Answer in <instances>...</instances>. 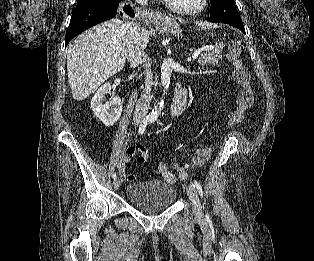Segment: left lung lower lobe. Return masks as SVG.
Here are the masks:
<instances>
[{"label": "left lung lower lobe", "instance_id": "left-lung-lower-lobe-1", "mask_svg": "<svg viewBox=\"0 0 314 261\" xmlns=\"http://www.w3.org/2000/svg\"><path fill=\"white\" fill-rule=\"evenodd\" d=\"M227 24L232 25V26L240 29L243 33H245V29H244L243 23L230 22V23H227Z\"/></svg>", "mask_w": 314, "mask_h": 261}]
</instances>
